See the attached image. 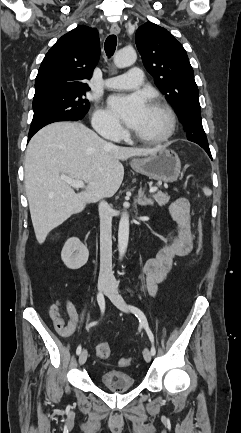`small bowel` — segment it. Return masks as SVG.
Segmentation results:
<instances>
[{
	"label": "small bowel",
	"instance_id": "obj_1",
	"mask_svg": "<svg viewBox=\"0 0 241 433\" xmlns=\"http://www.w3.org/2000/svg\"><path fill=\"white\" fill-rule=\"evenodd\" d=\"M170 213L177 223V236L154 258L147 260L143 267L142 289L151 296L156 295L158 287L166 280L174 258L188 255L193 248L188 200L183 197L176 199L170 206ZM65 307L69 317L67 323L62 318L57 303L49 307V315L57 333L69 338L79 329L80 318L76 306L70 299L65 300Z\"/></svg>",
	"mask_w": 241,
	"mask_h": 433
}]
</instances>
